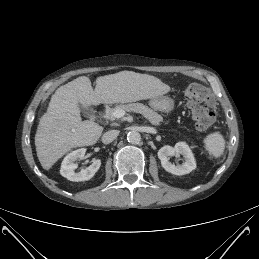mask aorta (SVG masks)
<instances>
[{
  "label": "aorta",
  "mask_w": 259,
  "mask_h": 259,
  "mask_svg": "<svg viewBox=\"0 0 259 259\" xmlns=\"http://www.w3.org/2000/svg\"><path fill=\"white\" fill-rule=\"evenodd\" d=\"M127 140L131 144H139L141 141V135L137 131H130L127 135Z\"/></svg>",
  "instance_id": "aorta-1"
}]
</instances>
